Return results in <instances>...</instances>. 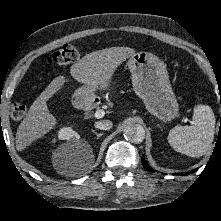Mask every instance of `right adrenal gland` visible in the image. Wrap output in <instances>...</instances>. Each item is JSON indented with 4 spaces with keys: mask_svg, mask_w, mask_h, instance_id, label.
Returning a JSON list of instances; mask_svg holds the SVG:
<instances>
[{
    "mask_svg": "<svg viewBox=\"0 0 221 221\" xmlns=\"http://www.w3.org/2000/svg\"><path fill=\"white\" fill-rule=\"evenodd\" d=\"M92 132L97 136V138L103 136V133H97L95 130H92Z\"/></svg>",
    "mask_w": 221,
    "mask_h": 221,
    "instance_id": "right-adrenal-gland-1",
    "label": "right adrenal gland"
}]
</instances>
